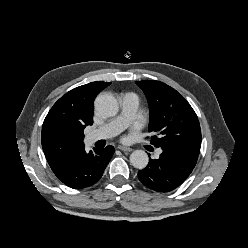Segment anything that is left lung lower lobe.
Masks as SVG:
<instances>
[{
  "instance_id": "0a47b994",
  "label": "left lung lower lobe",
  "mask_w": 248,
  "mask_h": 248,
  "mask_svg": "<svg viewBox=\"0 0 248 248\" xmlns=\"http://www.w3.org/2000/svg\"><path fill=\"white\" fill-rule=\"evenodd\" d=\"M159 159H149L138 178L156 192H170L180 186L194 169L198 156L170 148H161Z\"/></svg>"
}]
</instances>
